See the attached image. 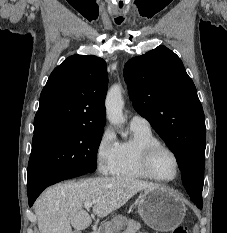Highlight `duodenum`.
Instances as JSON below:
<instances>
[{"label":"duodenum","mask_w":227,"mask_h":233,"mask_svg":"<svg viewBox=\"0 0 227 233\" xmlns=\"http://www.w3.org/2000/svg\"><path fill=\"white\" fill-rule=\"evenodd\" d=\"M91 233H98V232L93 231V232H91Z\"/></svg>","instance_id":"duodenum-1"}]
</instances>
